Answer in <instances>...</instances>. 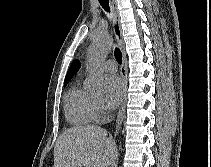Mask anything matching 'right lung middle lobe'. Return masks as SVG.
Here are the masks:
<instances>
[{
	"label": "right lung middle lobe",
	"instance_id": "1",
	"mask_svg": "<svg viewBox=\"0 0 211 167\" xmlns=\"http://www.w3.org/2000/svg\"><path fill=\"white\" fill-rule=\"evenodd\" d=\"M67 83H68V81H65V82H64V86L67 85Z\"/></svg>",
	"mask_w": 211,
	"mask_h": 167
}]
</instances>
